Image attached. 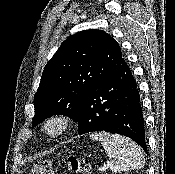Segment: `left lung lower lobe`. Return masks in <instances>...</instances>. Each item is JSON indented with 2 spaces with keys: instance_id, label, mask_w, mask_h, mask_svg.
<instances>
[{
  "instance_id": "1",
  "label": "left lung lower lobe",
  "mask_w": 175,
  "mask_h": 174,
  "mask_svg": "<svg viewBox=\"0 0 175 174\" xmlns=\"http://www.w3.org/2000/svg\"><path fill=\"white\" fill-rule=\"evenodd\" d=\"M78 133L106 131L127 136L147 153L144 117L136 80L123 57L83 97Z\"/></svg>"
}]
</instances>
